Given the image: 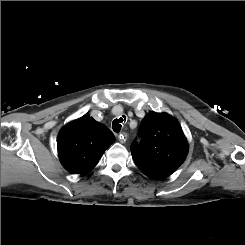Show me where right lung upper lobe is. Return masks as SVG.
Wrapping results in <instances>:
<instances>
[{"mask_svg": "<svg viewBox=\"0 0 245 245\" xmlns=\"http://www.w3.org/2000/svg\"><path fill=\"white\" fill-rule=\"evenodd\" d=\"M115 141L113 133L88 115L67 124L57 138L60 161L73 174H86Z\"/></svg>", "mask_w": 245, "mask_h": 245, "instance_id": "obj_1", "label": "right lung upper lobe"}]
</instances>
